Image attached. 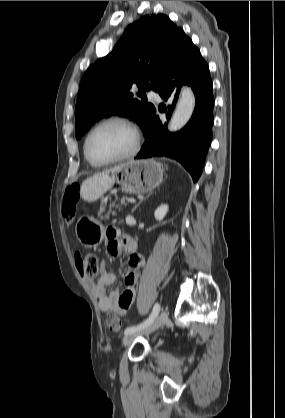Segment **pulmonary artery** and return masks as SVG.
I'll return each mask as SVG.
<instances>
[{
  "mask_svg": "<svg viewBox=\"0 0 285 418\" xmlns=\"http://www.w3.org/2000/svg\"><path fill=\"white\" fill-rule=\"evenodd\" d=\"M148 95L151 98H154V99H161V95H160V93L157 90H153V89L149 90L148 91Z\"/></svg>",
  "mask_w": 285,
  "mask_h": 418,
  "instance_id": "e3ab8cb5",
  "label": "pulmonary artery"
}]
</instances>
